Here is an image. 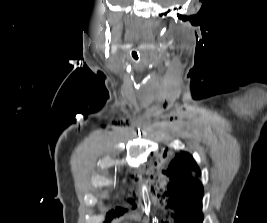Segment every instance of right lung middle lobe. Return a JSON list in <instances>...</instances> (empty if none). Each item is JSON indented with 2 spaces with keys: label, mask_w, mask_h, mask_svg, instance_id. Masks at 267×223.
Returning a JSON list of instances; mask_svg holds the SVG:
<instances>
[{
  "label": "right lung middle lobe",
  "mask_w": 267,
  "mask_h": 223,
  "mask_svg": "<svg viewBox=\"0 0 267 223\" xmlns=\"http://www.w3.org/2000/svg\"><path fill=\"white\" fill-rule=\"evenodd\" d=\"M123 213H124V210L123 209L117 208L116 209V212H110V213H108L107 217L108 218H112V217L117 216V215L119 216V215H121Z\"/></svg>",
  "instance_id": "right-lung-middle-lobe-1"
}]
</instances>
